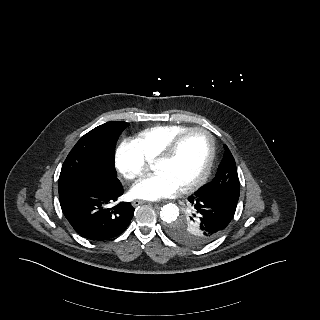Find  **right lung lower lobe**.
Returning <instances> with one entry per match:
<instances>
[{
	"instance_id": "1",
	"label": "right lung lower lobe",
	"mask_w": 320,
	"mask_h": 320,
	"mask_svg": "<svg viewBox=\"0 0 320 320\" xmlns=\"http://www.w3.org/2000/svg\"><path fill=\"white\" fill-rule=\"evenodd\" d=\"M123 192L119 180H92L59 188V200L64 216L78 234L91 241H105L123 233L134 216L129 202L110 207Z\"/></svg>"
}]
</instances>
